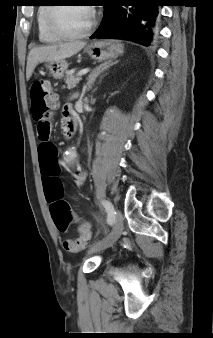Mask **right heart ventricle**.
I'll return each mask as SVG.
<instances>
[{
	"label": "right heart ventricle",
	"mask_w": 213,
	"mask_h": 338,
	"mask_svg": "<svg viewBox=\"0 0 213 338\" xmlns=\"http://www.w3.org/2000/svg\"><path fill=\"white\" fill-rule=\"evenodd\" d=\"M37 10L36 22H37V31L38 37L41 42L44 43H53L58 39L53 37L46 28L47 15L50 10V6L46 3H41ZM47 5V6H46Z\"/></svg>",
	"instance_id": "right-heart-ventricle-1"
}]
</instances>
